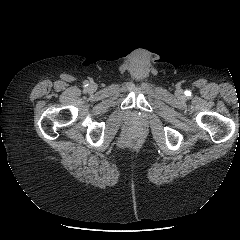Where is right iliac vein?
<instances>
[{"label": "right iliac vein", "instance_id": "63e3f726", "mask_svg": "<svg viewBox=\"0 0 240 240\" xmlns=\"http://www.w3.org/2000/svg\"><path fill=\"white\" fill-rule=\"evenodd\" d=\"M90 88H91V89H94V86H93V85H90Z\"/></svg>", "mask_w": 240, "mask_h": 240}]
</instances>
